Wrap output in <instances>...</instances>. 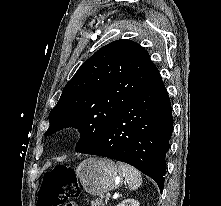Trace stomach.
Segmentation results:
<instances>
[{
  "label": "stomach",
  "instance_id": "1",
  "mask_svg": "<svg viewBox=\"0 0 221 206\" xmlns=\"http://www.w3.org/2000/svg\"><path fill=\"white\" fill-rule=\"evenodd\" d=\"M77 178L85 190L95 195H102L122 185L123 173L111 160L88 158L76 169Z\"/></svg>",
  "mask_w": 221,
  "mask_h": 206
}]
</instances>
